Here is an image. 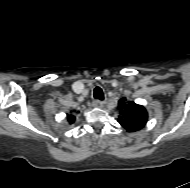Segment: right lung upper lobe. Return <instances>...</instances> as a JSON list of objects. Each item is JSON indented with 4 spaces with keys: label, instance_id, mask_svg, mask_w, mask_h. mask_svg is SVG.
Here are the masks:
<instances>
[{
    "label": "right lung upper lobe",
    "instance_id": "cb5924a9",
    "mask_svg": "<svg viewBox=\"0 0 190 188\" xmlns=\"http://www.w3.org/2000/svg\"><path fill=\"white\" fill-rule=\"evenodd\" d=\"M74 112L75 111H71L70 114H67V121L69 124H73L75 122L76 117L74 115Z\"/></svg>",
    "mask_w": 190,
    "mask_h": 188
}]
</instances>
